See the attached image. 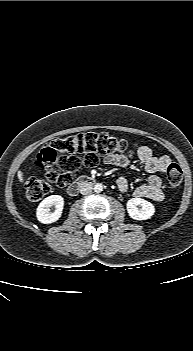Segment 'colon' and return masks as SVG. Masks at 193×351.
Wrapping results in <instances>:
<instances>
[{
	"instance_id": "5ec220e1",
	"label": "colon",
	"mask_w": 193,
	"mask_h": 351,
	"mask_svg": "<svg viewBox=\"0 0 193 351\" xmlns=\"http://www.w3.org/2000/svg\"><path fill=\"white\" fill-rule=\"evenodd\" d=\"M135 148V143L106 132L82 133L56 139L40 150L35 161L39 169L47 170L46 177L27 180L24 184L25 195L31 201H38L50 192L53 183L60 189L67 187L82 167H94L103 156L129 152ZM54 166L59 171L54 170ZM182 178L180 166L169 164L166 170L168 186L178 187Z\"/></svg>"
}]
</instances>
